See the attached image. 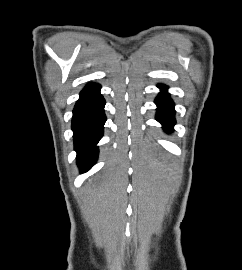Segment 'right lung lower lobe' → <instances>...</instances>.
<instances>
[{
  "label": "right lung lower lobe",
  "mask_w": 242,
  "mask_h": 270,
  "mask_svg": "<svg viewBox=\"0 0 242 270\" xmlns=\"http://www.w3.org/2000/svg\"><path fill=\"white\" fill-rule=\"evenodd\" d=\"M105 100L100 94V86L88 84L80 93L73 110L72 130L77 163L81 172L89 170L98 157L96 144L103 135L106 121Z\"/></svg>",
  "instance_id": "1"
}]
</instances>
